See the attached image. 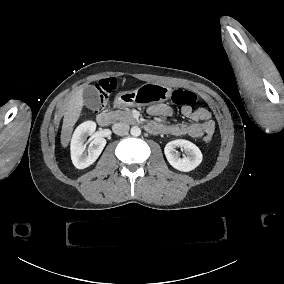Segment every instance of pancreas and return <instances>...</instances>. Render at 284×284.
I'll list each match as a JSON object with an SVG mask.
<instances>
[{
  "mask_svg": "<svg viewBox=\"0 0 284 284\" xmlns=\"http://www.w3.org/2000/svg\"><path fill=\"white\" fill-rule=\"evenodd\" d=\"M109 113L114 117L115 120L122 121L130 125L137 124V121L132 115V110L130 109L110 111Z\"/></svg>",
  "mask_w": 284,
  "mask_h": 284,
  "instance_id": "cf45deb5",
  "label": "pancreas"
}]
</instances>
